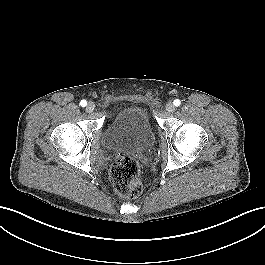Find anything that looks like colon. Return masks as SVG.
Instances as JSON below:
<instances>
[{
  "instance_id": "5ec220e1",
  "label": "colon",
  "mask_w": 265,
  "mask_h": 265,
  "mask_svg": "<svg viewBox=\"0 0 265 265\" xmlns=\"http://www.w3.org/2000/svg\"><path fill=\"white\" fill-rule=\"evenodd\" d=\"M141 168L129 157L117 158L110 168V180L115 192L123 198H135L142 192Z\"/></svg>"
}]
</instances>
